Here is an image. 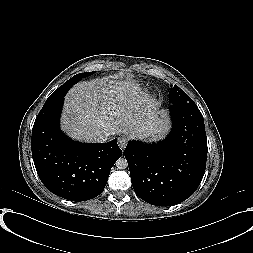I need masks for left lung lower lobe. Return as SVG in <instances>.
Masks as SVG:
<instances>
[{
	"label": "left lung lower lobe",
	"mask_w": 253,
	"mask_h": 253,
	"mask_svg": "<svg viewBox=\"0 0 253 253\" xmlns=\"http://www.w3.org/2000/svg\"><path fill=\"white\" fill-rule=\"evenodd\" d=\"M172 131L163 141H129L125 149L132 185L144 201L169 206L189 198L206 168L207 138L198 108L172 104Z\"/></svg>",
	"instance_id": "0a47b994"
}]
</instances>
